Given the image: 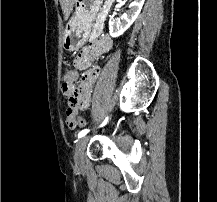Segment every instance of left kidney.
<instances>
[{"mask_svg":"<svg viewBox=\"0 0 217 202\" xmlns=\"http://www.w3.org/2000/svg\"><path fill=\"white\" fill-rule=\"evenodd\" d=\"M144 2L145 0H134L129 6L130 10L124 12L121 18H118V20H109V34L111 38L122 36L132 26L137 16H139Z\"/></svg>","mask_w":217,"mask_h":202,"instance_id":"1","label":"left kidney"}]
</instances>
